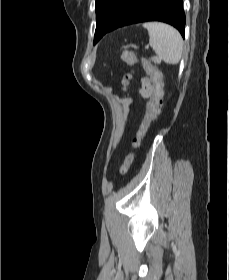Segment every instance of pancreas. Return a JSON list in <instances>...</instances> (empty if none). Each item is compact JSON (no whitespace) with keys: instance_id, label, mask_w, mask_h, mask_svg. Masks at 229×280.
Instances as JSON below:
<instances>
[{"instance_id":"cf45deb5","label":"pancreas","mask_w":229,"mask_h":280,"mask_svg":"<svg viewBox=\"0 0 229 280\" xmlns=\"http://www.w3.org/2000/svg\"><path fill=\"white\" fill-rule=\"evenodd\" d=\"M151 60L154 62V63H159V59L157 57H151Z\"/></svg>"}]
</instances>
